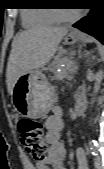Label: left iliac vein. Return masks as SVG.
<instances>
[{"label": "left iliac vein", "instance_id": "left-iliac-vein-1", "mask_svg": "<svg viewBox=\"0 0 104 169\" xmlns=\"http://www.w3.org/2000/svg\"><path fill=\"white\" fill-rule=\"evenodd\" d=\"M94 166L96 169H103L102 159L100 158V156L95 157Z\"/></svg>", "mask_w": 104, "mask_h": 169}]
</instances>
